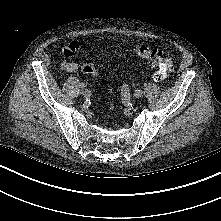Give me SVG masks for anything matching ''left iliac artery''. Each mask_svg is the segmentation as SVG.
I'll list each match as a JSON object with an SVG mask.
<instances>
[{"label": "left iliac artery", "mask_w": 221, "mask_h": 221, "mask_svg": "<svg viewBox=\"0 0 221 221\" xmlns=\"http://www.w3.org/2000/svg\"><path fill=\"white\" fill-rule=\"evenodd\" d=\"M121 101L123 105H129L130 102V91L127 85H124L122 87L121 91Z\"/></svg>", "instance_id": "obj_1"}]
</instances>
